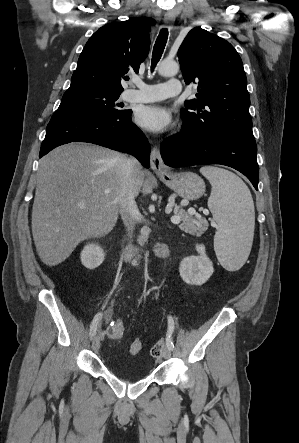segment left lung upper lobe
Returning a JSON list of instances; mask_svg holds the SVG:
<instances>
[{
    "instance_id": "obj_1",
    "label": "left lung upper lobe",
    "mask_w": 299,
    "mask_h": 443,
    "mask_svg": "<svg viewBox=\"0 0 299 443\" xmlns=\"http://www.w3.org/2000/svg\"><path fill=\"white\" fill-rule=\"evenodd\" d=\"M187 84L196 81V98L181 110L184 127L197 134L252 133L250 97L242 60L226 40L192 29L178 51Z\"/></svg>"
}]
</instances>
